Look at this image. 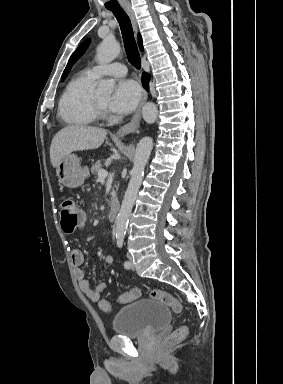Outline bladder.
<instances>
[{"label":"bladder","instance_id":"1","mask_svg":"<svg viewBox=\"0 0 283 384\" xmlns=\"http://www.w3.org/2000/svg\"><path fill=\"white\" fill-rule=\"evenodd\" d=\"M169 321L170 313L165 304L149 299H135L117 310L112 329L116 335L139 338L164 328Z\"/></svg>","mask_w":283,"mask_h":384}]
</instances>
